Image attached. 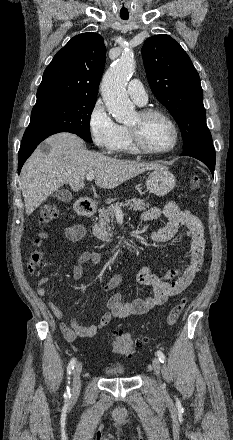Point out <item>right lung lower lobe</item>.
I'll return each mask as SVG.
<instances>
[{"mask_svg":"<svg viewBox=\"0 0 233 440\" xmlns=\"http://www.w3.org/2000/svg\"><path fill=\"white\" fill-rule=\"evenodd\" d=\"M59 132H66L60 130H31L26 129L20 150L18 153V173L20 172L26 159L32 154L37 145L44 139Z\"/></svg>","mask_w":233,"mask_h":440,"instance_id":"obj_1","label":"right lung lower lobe"}]
</instances>
